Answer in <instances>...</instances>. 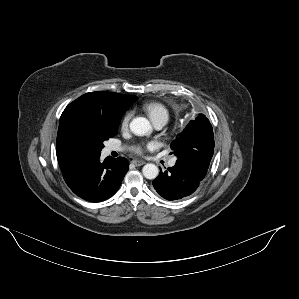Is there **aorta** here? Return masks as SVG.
<instances>
[{"instance_id": "1", "label": "aorta", "mask_w": 299, "mask_h": 299, "mask_svg": "<svg viewBox=\"0 0 299 299\" xmlns=\"http://www.w3.org/2000/svg\"><path fill=\"white\" fill-rule=\"evenodd\" d=\"M130 130L138 136L150 134L152 127L148 119L144 117H136L130 122ZM142 173L147 179H155L159 174V169L155 164H146L142 169Z\"/></svg>"}]
</instances>
